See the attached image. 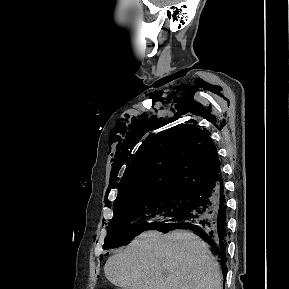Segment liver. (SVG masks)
<instances>
[{
	"mask_svg": "<svg viewBox=\"0 0 289 289\" xmlns=\"http://www.w3.org/2000/svg\"><path fill=\"white\" fill-rule=\"evenodd\" d=\"M104 272L122 289H222L208 245L184 230L143 232L107 260Z\"/></svg>",
	"mask_w": 289,
	"mask_h": 289,
	"instance_id": "liver-1",
	"label": "liver"
}]
</instances>
